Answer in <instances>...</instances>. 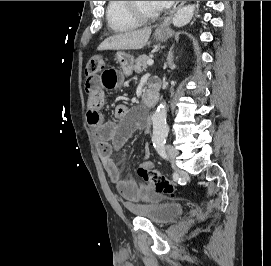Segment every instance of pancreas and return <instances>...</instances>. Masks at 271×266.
<instances>
[{
  "label": "pancreas",
  "mask_w": 271,
  "mask_h": 266,
  "mask_svg": "<svg viewBox=\"0 0 271 266\" xmlns=\"http://www.w3.org/2000/svg\"><path fill=\"white\" fill-rule=\"evenodd\" d=\"M151 60V58L147 55H141L135 60V65L133 66V70L136 73H140L147 68V61Z\"/></svg>",
  "instance_id": "1"
}]
</instances>
